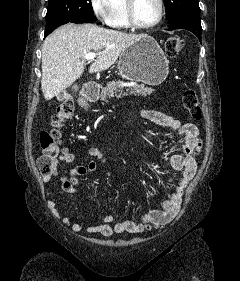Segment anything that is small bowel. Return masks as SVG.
I'll list each match as a JSON object with an SVG mask.
<instances>
[{
	"label": "small bowel",
	"mask_w": 240,
	"mask_h": 281,
	"mask_svg": "<svg viewBox=\"0 0 240 281\" xmlns=\"http://www.w3.org/2000/svg\"><path fill=\"white\" fill-rule=\"evenodd\" d=\"M141 117L156 125L169 128L172 132L182 137V144L169 158L171 167L179 174V179L174 187L170 197L165 200L160 207L153 209L139 217L138 221L123 220L113 224V216H105L98 220L95 225L83 227L80 223L71 225L74 232L85 230L90 234H100L104 237L122 235L125 233H141L152 228H158L172 221L179 213L185 189L193 179L196 172V157L201 152L202 142L199 136V130L193 123H182L178 119L157 110H142ZM90 160L86 165H78L59 176L57 169L58 162L72 163L76 160L75 153H65L54 162V171L51 174L44 175L45 182H51L59 176V181L63 191L75 193L79 189V176H86L94 172L97 168V161L107 163V157L103 151L98 148L87 150ZM173 182V178H170ZM52 211L62 223L71 224L69 216H60L57 212V204L49 201Z\"/></svg>",
	"instance_id": "small-bowel-1"
}]
</instances>
